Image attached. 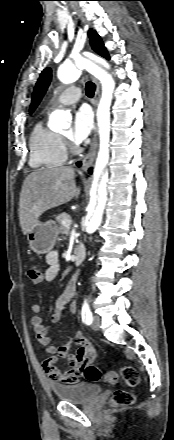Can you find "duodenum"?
Wrapping results in <instances>:
<instances>
[{
    "label": "duodenum",
    "instance_id": "1",
    "mask_svg": "<svg viewBox=\"0 0 174 440\" xmlns=\"http://www.w3.org/2000/svg\"><path fill=\"white\" fill-rule=\"evenodd\" d=\"M86 256V249L83 244H79L75 250V258L74 261L76 264H80L84 261Z\"/></svg>",
    "mask_w": 174,
    "mask_h": 440
}]
</instances>
